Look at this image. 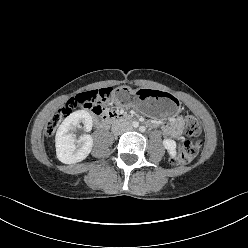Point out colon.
Here are the masks:
<instances>
[{
	"mask_svg": "<svg viewBox=\"0 0 248 248\" xmlns=\"http://www.w3.org/2000/svg\"><path fill=\"white\" fill-rule=\"evenodd\" d=\"M112 93V88H102L78 94L75 98H72L57 115L52 117L47 125V135L50 136L58 126L61 118L70 114L78 105H83L94 113H102L109 104ZM200 132L201 129L197 120L192 116H187L186 134L189 139L179 145L177 155L171 158L172 163L188 164L194 160L200 147V142L195 140V138L200 135Z\"/></svg>",
	"mask_w": 248,
	"mask_h": 248,
	"instance_id": "1",
	"label": "colon"
}]
</instances>
